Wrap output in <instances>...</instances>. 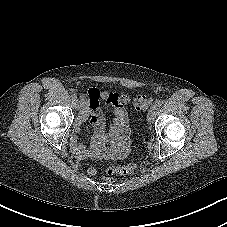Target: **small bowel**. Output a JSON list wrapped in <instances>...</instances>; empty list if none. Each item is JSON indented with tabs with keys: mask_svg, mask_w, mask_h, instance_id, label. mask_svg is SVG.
<instances>
[{
	"mask_svg": "<svg viewBox=\"0 0 227 227\" xmlns=\"http://www.w3.org/2000/svg\"><path fill=\"white\" fill-rule=\"evenodd\" d=\"M83 109L74 124L70 145L73 153L79 158H123L130 147V127L127 111L121 96L116 93L101 92L90 88L81 95ZM113 108V122L107 131L101 103ZM90 120L94 126V136L91 146L87 148L78 142V133L83 124ZM110 143L107 147L106 144Z\"/></svg>",
	"mask_w": 227,
	"mask_h": 227,
	"instance_id": "small-bowel-1",
	"label": "small bowel"
}]
</instances>
